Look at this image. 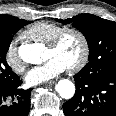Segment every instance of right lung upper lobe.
Here are the masks:
<instances>
[{
	"instance_id": "right-lung-upper-lobe-1",
	"label": "right lung upper lobe",
	"mask_w": 116,
	"mask_h": 116,
	"mask_svg": "<svg viewBox=\"0 0 116 116\" xmlns=\"http://www.w3.org/2000/svg\"><path fill=\"white\" fill-rule=\"evenodd\" d=\"M21 21H23V19H19L14 16L6 15V14L0 15V24L1 23L2 24H16Z\"/></svg>"
}]
</instances>
